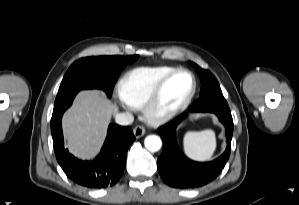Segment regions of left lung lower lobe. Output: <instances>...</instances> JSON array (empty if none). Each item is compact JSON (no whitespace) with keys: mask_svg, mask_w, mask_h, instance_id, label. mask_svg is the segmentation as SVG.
<instances>
[{"mask_svg":"<svg viewBox=\"0 0 299 205\" xmlns=\"http://www.w3.org/2000/svg\"><path fill=\"white\" fill-rule=\"evenodd\" d=\"M189 111L215 113L219 121L225 126L227 148L214 161L194 162L188 159L180 150L175 136V129L180 121L187 116V112L160 127L158 132L164 143V150L158 159V171L166 184L180 189L203 186L214 180L221 173L230 155V144L233 134V120L227 103L200 108L191 106Z\"/></svg>","mask_w":299,"mask_h":205,"instance_id":"obj_1","label":"left lung lower lobe"}]
</instances>
